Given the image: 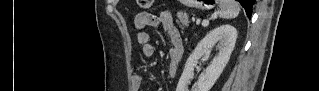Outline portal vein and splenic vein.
<instances>
[{
    "label": "portal vein and splenic vein",
    "instance_id": "obj_1",
    "mask_svg": "<svg viewBox=\"0 0 319 91\" xmlns=\"http://www.w3.org/2000/svg\"><path fill=\"white\" fill-rule=\"evenodd\" d=\"M208 24H209V22L206 21V20H204V21L202 22V25H203V26H207Z\"/></svg>",
    "mask_w": 319,
    "mask_h": 91
}]
</instances>
